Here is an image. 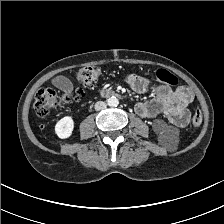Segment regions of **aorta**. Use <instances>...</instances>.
Instances as JSON below:
<instances>
[{
    "mask_svg": "<svg viewBox=\"0 0 224 224\" xmlns=\"http://www.w3.org/2000/svg\"><path fill=\"white\" fill-rule=\"evenodd\" d=\"M107 103L110 107H117L119 104V100L116 97L112 96L107 100Z\"/></svg>",
    "mask_w": 224,
    "mask_h": 224,
    "instance_id": "obj_1",
    "label": "aorta"
}]
</instances>
